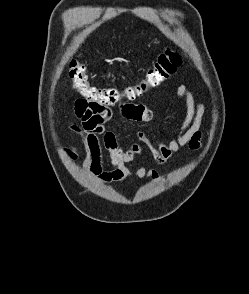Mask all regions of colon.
<instances>
[{"label":"colon","mask_w":249,"mask_h":294,"mask_svg":"<svg viewBox=\"0 0 249 294\" xmlns=\"http://www.w3.org/2000/svg\"><path fill=\"white\" fill-rule=\"evenodd\" d=\"M179 52L167 48L148 68L139 83L123 87H95L89 82L85 66L73 59L69 64V77L73 88L92 106H112L123 100H133L145 92L157 88L168 80L182 64Z\"/></svg>","instance_id":"colon-1"}]
</instances>
